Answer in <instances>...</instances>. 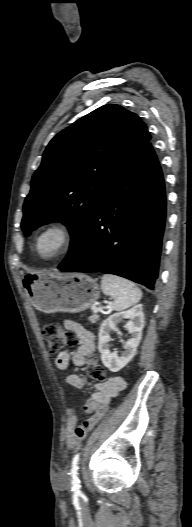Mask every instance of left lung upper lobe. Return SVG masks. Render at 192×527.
<instances>
[{
	"label": "left lung upper lobe",
	"mask_w": 192,
	"mask_h": 527,
	"mask_svg": "<svg viewBox=\"0 0 192 527\" xmlns=\"http://www.w3.org/2000/svg\"><path fill=\"white\" fill-rule=\"evenodd\" d=\"M150 139L140 117L119 105H104L58 133L31 181L21 224L25 234L64 222L71 250L111 184Z\"/></svg>",
	"instance_id": "left-lung-upper-lobe-1"
}]
</instances>
